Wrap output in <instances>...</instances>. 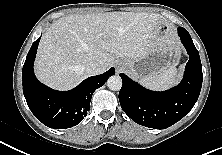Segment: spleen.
<instances>
[{"label": "spleen", "instance_id": "3e777b00", "mask_svg": "<svg viewBox=\"0 0 222 155\" xmlns=\"http://www.w3.org/2000/svg\"><path fill=\"white\" fill-rule=\"evenodd\" d=\"M178 80L176 68H168L158 74L148 75L140 78V83L154 90H164L175 85Z\"/></svg>", "mask_w": 222, "mask_h": 155}]
</instances>
